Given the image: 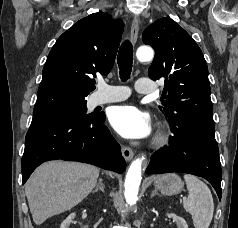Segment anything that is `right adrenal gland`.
Masks as SVG:
<instances>
[{
  "label": "right adrenal gland",
  "mask_w": 238,
  "mask_h": 228,
  "mask_svg": "<svg viewBox=\"0 0 238 228\" xmlns=\"http://www.w3.org/2000/svg\"><path fill=\"white\" fill-rule=\"evenodd\" d=\"M97 191H102L103 193L105 192V185L101 178L98 180V183H97L95 189L93 190V193H95Z\"/></svg>",
  "instance_id": "1"
}]
</instances>
